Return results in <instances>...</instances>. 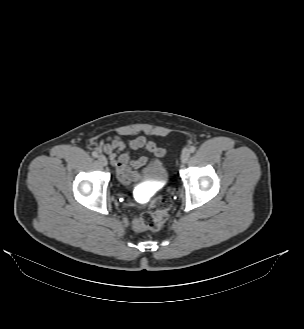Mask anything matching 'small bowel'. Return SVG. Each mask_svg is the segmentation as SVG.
<instances>
[{"label":"small bowel","instance_id":"c3829d8e","mask_svg":"<svg viewBox=\"0 0 304 329\" xmlns=\"http://www.w3.org/2000/svg\"><path fill=\"white\" fill-rule=\"evenodd\" d=\"M100 149L109 156L111 164L116 168L119 181L125 187H130L134 181L140 179L137 170L150 160L146 156L133 158L130 151L144 149L152 153L155 158L163 157L165 154V150L159 147L154 140L142 135L131 139L129 142L118 135L108 137L101 143Z\"/></svg>","mask_w":304,"mask_h":329}]
</instances>
